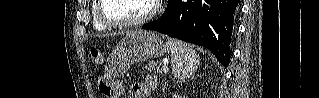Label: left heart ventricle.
I'll list each match as a JSON object with an SVG mask.
<instances>
[{
  "instance_id": "obj_1",
  "label": "left heart ventricle",
  "mask_w": 319,
  "mask_h": 98,
  "mask_svg": "<svg viewBox=\"0 0 319 98\" xmlns=\"http://www.w3.org/2000/svg\"><path fill=\"white\" fill-rule=\"evenodd\" d=\"M149 8V0H106L103 12L112 20L131 21L145 15Z\"/></svg>"
}]
</instances>
